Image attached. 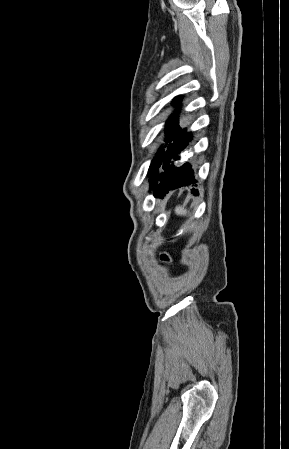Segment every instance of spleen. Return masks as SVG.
Returning a JSON list of instances; mask_svg holds the SVG:
<instances>
[{
    "label": "spleen",
    "mask_w": 289,
    "mask_h": 449,
    "mask_svg": "<svg viewBox=\"0 0 289 449\" xmlns=\"http://www.w3.org/2000/svg\"><path fill=\"white\" fill-rule=\"evenodd\" d=\"M175 213L177 214V215H183V216H185L186 214H187V210L186 209H184L183 207H181V206H177L176 208H175Z\"/></svg>",
    "instance_id": "spleen-1"
}]
</instances>
